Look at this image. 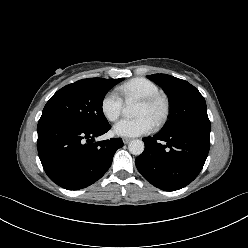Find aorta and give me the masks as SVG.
Instances as JSON below:
<instances>
[{
  "label": "aorta",
  "instance_id": "aorta-1",
  "mask_svg": "<svg viewBox=\"0 0 248 248\" xmlns=\"http://www.w3.org/2000/svg\"><path fill=\"white\" fill-rule=\"evenodd\" d=\"M122 113L126 117L135 116L136 115V110H135L134 105H132V104L127 105L122 110ZM144 148H145L144 142L142 140H139V139L132 140L128 145V149H129L130 153L133 154V155L142 154L143 151H144Z\"/></svg>",
  "mask_w": 248,
  "mask_h": 248
}]
</instances>
